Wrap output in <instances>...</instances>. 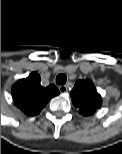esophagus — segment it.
I'll return each mask as SVG.
<instances>
[{
	"label": "esophagus",
	"mask_w": 122,
	"mask_h": 154,
	"mask_svg": "<svg viewBox=\"0 0 122 154\" xmlns=\"http://www.w3.org/2000/svg\"><path fill=\"white\" fill-rule=\"evenodd\" d=\"M59 90H60L61 93H66V92L68 91L66 85H61V86H59Z\"/></svg>",
	"instance_id": "esophagus-1"
}]
</instances>
